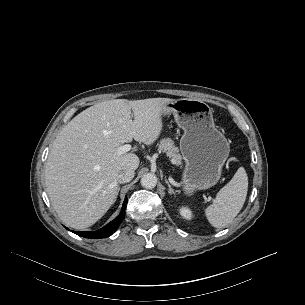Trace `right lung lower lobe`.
Returning <instances> with one entry per match:
<instances>
[{
    "instance_id": "right-lung-lower-lobe-1",
    "label": "right lung lower lobe",
    "mask_w": 305,
    "mask_h": 305,
    "mask_svg": "<svg viewBox=\"0 0 305 305\" xmlns=\"http://www.w3.org/2000/svg\"><path fill=\"white\" fill-rule=\"evenodd\" d=\"M127 202H128V200H127V198H125L120 215L117 216L113 221L108 223L103 228H101V229H99L97 231L76 232V234L79 235V236L85 237V238H90V239L109 237L110 235H112L117 230V228L119 227L120 223L123 221V219L125 217L124 211L126 209Z\"/></svg>"
}]
</instances>
